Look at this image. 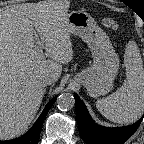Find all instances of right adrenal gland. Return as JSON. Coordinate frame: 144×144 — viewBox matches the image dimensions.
<instances>
[{
	"mask_svg": "<svg viewBox=\"0 0 144 144\" xmlns=\"http://www.w3.org/2000/svg\"><path fill=\"white\" fill-rule=\"evenodd\" d=\"M46 93V89H44V94Z\"/></svg>",
	"mask_w": 144,
	"mask_h": 144,
	"instance_id": "1",
	"label": "right adrenal gland"
}]
</instances>
